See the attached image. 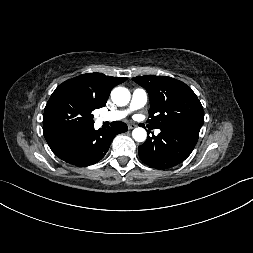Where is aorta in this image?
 I'll return each mask as SVG.
<instances>
[{"label": "aorta", "mask_w": 253, "mask_h": 253, "mask_svg": "<svg viewBox=\"0 0 253 253\" xmlns=\"http://www.w3.org/2000/svg\"><path fill=\"white\" fill-rule=\"evenodd\" d=\"M112 101L118 106H125L130 101V92L127 88L117 87L111 92ZM132 137L137 142H143L147 138V132L144 128L138 127L132 131Z\"/></svg>", "instance_id": "1"}]
</instances>
